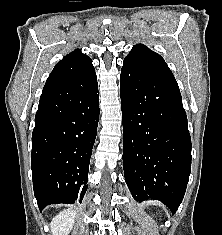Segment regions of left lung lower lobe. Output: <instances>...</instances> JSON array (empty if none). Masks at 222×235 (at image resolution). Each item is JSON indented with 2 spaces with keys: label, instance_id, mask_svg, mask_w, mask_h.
I'll list each match as a JSON object with an SVG mask.
<instances>
[{
  "label": "left lung lower lobe",
  "instance_id": "1",
  "mask_svg": "<svg viewBox=\"0 0 222 235\" xmlns=\"http://www.w3.org/2000/svg\"><path fill=\"white\" fill-rule=\"evenodd\" d=\"M125 182L136 201L174 214L191 170V138L175 78L124 60L120 75Z\"/></svg>",
  "mask_w": 222,
  "mask_h": 235
}]
</instances>
